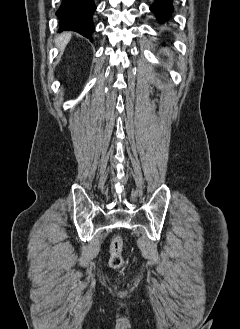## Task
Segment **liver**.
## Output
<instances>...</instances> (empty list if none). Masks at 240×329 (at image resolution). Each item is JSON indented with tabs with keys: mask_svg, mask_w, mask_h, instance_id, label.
<instances>
[{
	"mask_svg": "<svg viewBox=\"0 0 240 329\" xmlns=\"http://www.w3.org/2000/svg\"><path fill=\"white\" fill-rule=\"evenodd\" d=\"M71 36L72 35L70 32H66V33H62L58 37H56L55 44L61 50V53L63 52L64 48L70 41Z\"/></svg>",
	"mask_w": 240,
	"mask_h": 329,
	"instance_id": "obj_1",
	"label": "liver"
}]
</instances>
